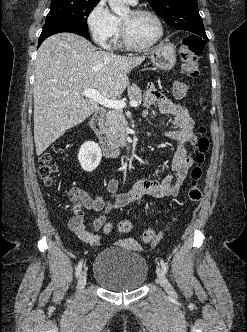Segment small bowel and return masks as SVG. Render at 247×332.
<instances>
[{"label":"small bowel","instance_id":"c3829d8e","mask_svg":"<svg viewBox=\"0 0 247 332\" xmlns=\"http://www.w3.org/2000/svg\"><path fill=\"white\" fill-rule=\"evenodd\" d=\"M155 104H157L159 113L173 118L174 128L161 130L163 135L177 143L171 163L172 173L160 179H138L132 188L125 192L119 190V183L116 179L110 178L107 181L109 200H105L99 195L92 198L80 189H72L70 193L75 194L86 209L98 213L91 220L80 215L71 218L69 221V229L81 241L91 246L100 244L101 238L96 232L106 225V215L109 212L138 203L146 196L153 198L175 197L179 194L186 180L188 170L193 163L188 147L193 146L198 141V136L194 132V120L184 105L174 103L157 89L151 87L144 95L145 115ZM160 237L161 235H159V239Z\"/></svg>","mask_w":247,"mask_h":332}]
</instances>
